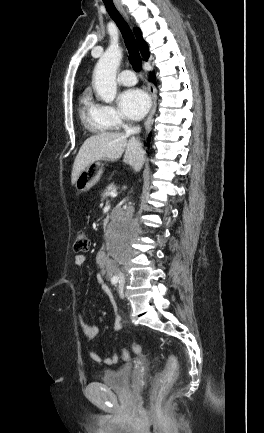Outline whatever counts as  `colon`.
Returning <instances> with one entry per match:
<instances>
[{
  "instance_id": "obj_1",
  "label": "colon",
  "mask_w": 264,
  "mask_h": 433,
  "mask_svg": "<svg viewBox=\"0 0 264 433\" xmlns=\"http://www.w3.org/2000/svg\"><path fill=\"white\" fill-rule=\"evenodd\" d=\"M90 242L87 234L84 231H79L76 234L75 241H74V251L78 253H85L89 250ZM132 350L134 353L139 354L142 351V347L140 343L134 342L132 344ZM122 358L124 360H128L130 358V353L127 349H123L122 351ZM178 360L176 356L172 353H169L166 358V364L165 367L160 375V383L163 386H170L172 385L178 375Z\"/></svg>"
}]
</instances>
